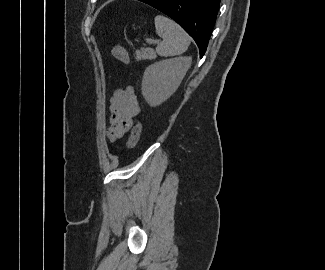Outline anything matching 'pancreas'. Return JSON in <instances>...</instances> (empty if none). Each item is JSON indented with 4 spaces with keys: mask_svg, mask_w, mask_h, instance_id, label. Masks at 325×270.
Returning <instances> with one entry per match:
<instances>
[{
    "mask_svg": "<svg viewBox=\"0 0 325 270\" xmlns=\"http://www.w3.org/2000/svg\"><path fill=\"white\" fill-rule=\"evenodd\" d=\"M156 58V53L151 48H141L140 50L136 51V60H153Z\"/></svg>",
    "mask_w": 325,
    "mask_h": 270,
    "instance_id": "obj_1",
    "label": "pancreas"
}]
</instances>
